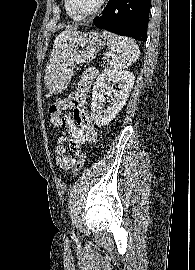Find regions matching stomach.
Wrapping results in <instances>:
<instances>
[{
	"mask_svg": "<svg viewBox=\"0 0 195 270\" xmlns=\"http://www.w3.org/2000/svg\"><path fill=\"white\" fill-rule=\"evenodd\" d=\"M104 45L103 35L96 31H75L61 37L45 70V82L49 91L62 92L70 82L74 67L91 61Z\"/></svg>",
	"mask_w": 195,
	"mask_h": 270,
	"instance_id": "obj_1",
	"label": "stomach"
}]
</instances>
